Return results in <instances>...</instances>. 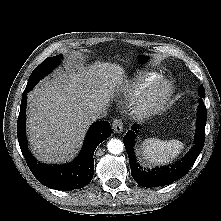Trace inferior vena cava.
Masks as SVG:
<instances>
[{
  "mask_svg": "<svg viewBox=\"0 0 221 221\" xmlns=\"http://www.w3.org/2000/svg\"><path fill=\"white\" fill-rule=\"evenodd\" d=\"M107 116V108L106 107H98L95 108L90 114V120L93 122L97 119H101Z\"/></svg>",
  "mask_w": 221,
  "mask_h": 221,
  "instance_id": "602c4592",
  "label": "inferior vena cava"
}]
</instances>
